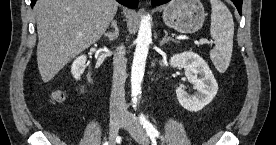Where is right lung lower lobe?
<instances>
[{
  "label": "right lung lower lobe",
  "mask_w": 276,
  "mask_h": 145,
  "mask_svg": "<svg viewBox=\"0 0 276 145\" xmlns=\"http://www.w3.org/2000/svg\"><path fill=\"white\" fill-rule=\"evenodd\" d=\"M116 1L130 8H137L138 6V0H116ZM35 2L36 0H31V6H33Z\"/></svg>",
  "instance_id": "obj_1"
}]
</instances>
